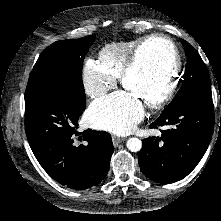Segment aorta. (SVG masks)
Returning a JSON list of instances; mask_svg holds the SVG:
<instances>
[{
  "instance_id": "762f6f07",
  "label": "aorta",
  "mask_w": 221,
  "mask_h": 221,
  "mask_svg": "<svg viewBox=\"0 0 221 221\" xmlns=\"http://www.w3.org/2000/svg\"><path fill=\"white\" fill-rule=\"evenodd\" d=\"M126 146L131 152H138L142 148V142L140 139L132 137L127 140Z\"/></svg>"
}]
</instances>
